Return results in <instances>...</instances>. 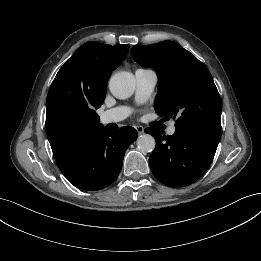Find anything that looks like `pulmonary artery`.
<instances>
[{
	"label": "pulmonary artery",
	"instance_id": "obj_1",
	"mask_svg": "<svg viewBox=\"0 0 261 261\" xmlns=\"http://www.w3.org/2000/svg\"><path fill=\"white\" fill-rule=\"evenodd\" d=\"M136 77V100L138 102L146 101L152 94L157 83V75L152 70L139 69L135 73ZM130 109L125 106L115 107L103 112L100 116L102 124L117 123L124 120L130 114ZM174 124L167 129L169 135L175 133Z\"/></svg>",
	"mask_w": 261,
	"mask_h": 261
}]
</instances>
